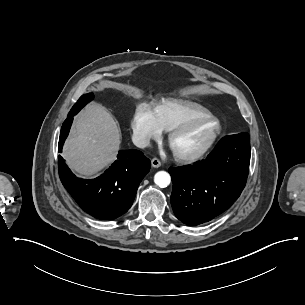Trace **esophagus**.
Wrapping results in <instances>:
<instances>
[{
    "label": "esophagus",
    "mask_w": 305,
    "mask_h": 305,
    "mask_svg": "<svg viewBox=\"0 0 305 305\" xmlns=\"http://www.w3.org/2000/svg\"><path fill=\"white\" fill-rule=\"evenodd\" d=\"M151 164H152V166L155 167V168H158V167L161 166V162H160V160H159L158 158H153V159L151 160Z\"/></svg>",
    "instance_id": "1"
}]
</instances>
